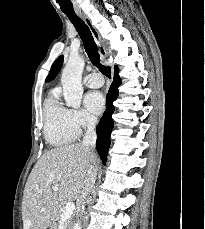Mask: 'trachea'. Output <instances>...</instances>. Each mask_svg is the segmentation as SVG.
Instances as JSON below:
<instances>
[{
  "mask_svg": "<svg viewBox=\"0 0 205 229\" xmlns=\"http://www.w3.org/2000/svg\"><path fill=\"white\" fill-rule=\"evenodd\" d=\"M66 15L69 18V20L72 22L74 27L76 28L77 32L79 33V36L81 37L82 42L85 46L86 53L90 61L92 62V64L97 66L99 70L102 72V74H104L108 78H111L110 68L105 67L100 63V55L98 53V48L96 46V43L94 41V38L92 36L89 27L77 15H69V14Z\"/></svg>",
  "mask_w": 205,
  "mask_h": 229,
  "instance_id": "obj_1",
  "label": "trachea"
}]
</instances>
